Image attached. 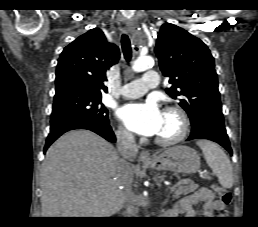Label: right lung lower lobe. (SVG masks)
<instances>
[{"instance_id": "98d812e1", "label": "right lung lower lobe", "mask_w": 258, "mask_h": 227, "mask_svg": "<svg viewBox=\"0 0 258 227\" xmlns=\"http://www.w3.org/2000/svg\"><path fill=\"white\" fill-rule=\"evenodd\" d=\"M73 129H88L112 143L116 142L115 135L109 124H97L91 120L73 114H54L51 115L50 133L46 140L44 153L59 136Z\"/></svg>"}]
</instances>
